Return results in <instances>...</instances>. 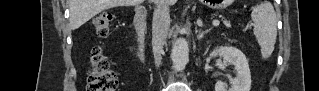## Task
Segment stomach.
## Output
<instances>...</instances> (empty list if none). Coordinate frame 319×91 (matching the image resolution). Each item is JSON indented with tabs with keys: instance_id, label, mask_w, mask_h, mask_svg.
<instances>
[{
	"instance_id": "stomach-1",
	"label": "stomach",
	"mask_w": 319,
	"mask_h": 91,
	"mask_svg": "<svg viewBox=\"0 0 319 91\" xmlns=\"http://www.w3.org/2000/svg\"><path fill=\"white\" fill-rule=\"evenodd\" d=\"M212 4L210 5L213 8H223L224 7V3L222 1H211ZM210 4V3H208Z\"/></svg>"
}]
</instances>
